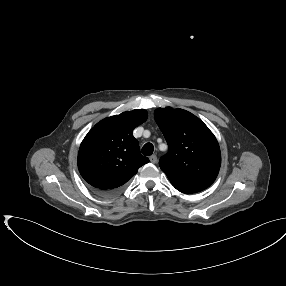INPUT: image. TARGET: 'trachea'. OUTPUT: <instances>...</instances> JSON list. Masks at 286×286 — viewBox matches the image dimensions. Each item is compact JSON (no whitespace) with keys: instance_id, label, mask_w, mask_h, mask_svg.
I'll return each instance as SVG.
<instances>
[{"instance_id":"trachea-1","label":"trachea","mask_w":286,"mask_h":286,"mask_svg":"<svg viewBox=\"0 0 286 286\" xmlns=\"http://www.w3.org/2000/svg\"><path fill=\"white\" fill-rule=\"evenodd\" d=\"M154 151V146L152 143H146L143 147H142V154L145 156H150L152 155Z\"/></svg>"}]
</instances>
